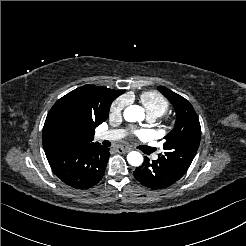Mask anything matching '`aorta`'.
<instances>
[{"instance_id":"aorta-1","label":"aorta","mask_w":246,"mask_h":246,"mask_svg":"<svg viewBox=\"0 0 246 246\" xmlns=\"http://www.w3.org/2000/svg\"><path fill=\"white\" fill-rule=\"evenodd\" d=\"M124 119L128 122H136L144 119V110L138 105H130L123 112ZM127 161L132 166H140L143 163V156L137 151H132L127 155Z\"/></svg>"}]
</instances>
